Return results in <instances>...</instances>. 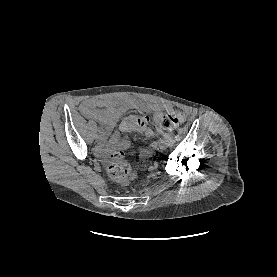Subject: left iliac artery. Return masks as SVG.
Here are the masks:
<instances>
[{"mask_svg":"<svg viewBox=\"0 0 277 277\" xmlns=\"http://www.w3.org/2000/svg\"><path fill=\"white\" fill-rule=\"evenodd\" d=\"M171 137L170 136H165L164 138H163V141L162 142H171Z\"/></svg>","mask_w":277,"mask_h":277,"instance_id":"left-iliac-artery-1","label":"left iliac artery"}]
</instances>
